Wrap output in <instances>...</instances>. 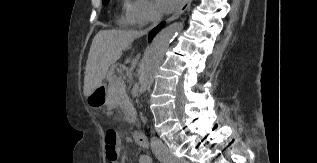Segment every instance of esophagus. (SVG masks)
<instances>
[{"label": "esophagus", "mask_w": 317, "mask_h": 163, "mask_svg": "<svg viewBox=\"0 0 317 163\" xmlns=\"http://www.w3.org/2000/svg\"><path fill=\"white\" fill-rule=\"evenodd\" d=\"M192 0H184L181 7L167 20V23L174 21L179 18L190 6Z\"/></svg>", "instance_id": "obj_1"}]
</instances>
